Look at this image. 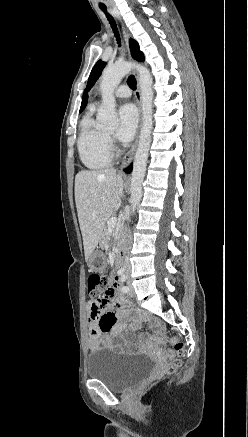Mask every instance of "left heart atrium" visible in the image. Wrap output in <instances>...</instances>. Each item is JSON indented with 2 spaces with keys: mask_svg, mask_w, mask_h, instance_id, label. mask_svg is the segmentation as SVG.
I'll use <instances>...</instances> for the list:
<instances>
[{
  "mask_svg": "<svg viewBox=\"0 0 248 437\" xmlns=\"http://www.w3.org/2000/svg\"><path fill=\"white\" fill-rule=\"evenodd\" d=\"M119 125L116 137L121 142H128L134 136L138 123V113L134 105L125 104L118 112Z\"/></svg>",
  "mask_w": 248,
  "mask_h": 437,
  "instance_id": "obj_1",
  "label": "left heart atrium"
}]
</instances>
